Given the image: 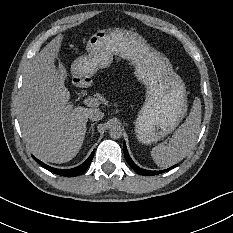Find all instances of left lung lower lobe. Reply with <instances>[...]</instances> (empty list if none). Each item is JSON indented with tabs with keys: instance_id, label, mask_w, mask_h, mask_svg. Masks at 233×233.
I'll return each instance as SVG.
<instances>
[{
	"instance_id": "0a47b994",
	"label": "left lung lower lobe",
	"mask_w": 233,
	"mask_h": 233,
	"mask_svg": "<svg viewBox=\"0 0 233 233\" xmlns=\"http://www.w3.org/2000/svg\"><path fill=\"white\" fill-rule=\"evenodd\" d=\"M123 150H124V155H125V158L128 162V164L134 169L135 172H137L138 174H141V175H145V176H150V175H156V174H160V173H163V172H166L170 169H172L173 167L171 168H168V169H165V170H162V171H149V170H145V169H141L139 168L133 161L132 159L130 158L129 154H128V151H127V148H126V144L124 142V145H123Z\"/></svg>"
}]
</instances>
